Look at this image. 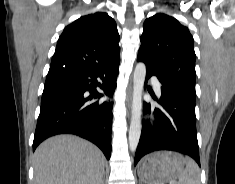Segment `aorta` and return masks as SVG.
<instances>
[{
  "label": "aorta",
  "instance_id": "aorta-1",
  "mask_svg": "<svg viewBox=\"0 0 235 184\" xmlns=\"http://www.w3.org/2000/svg\"><path fill=\"white\" fill-rule=\"evenodd\" d=\"M146 76L145 64H137L133 76L132 116L129 130V148L135 152L141 136L142 92Z\"/></svg>",
  "mask_w": 235,
  "mask_h": 184
}]
</instances>
